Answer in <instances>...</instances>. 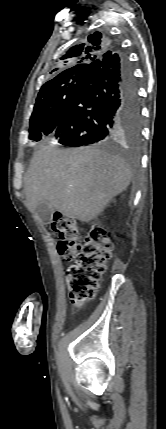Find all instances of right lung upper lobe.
<instances>
[{"mask_svg":"<svg viewBox=\"0 0 166 429\" xmlns=\"http://www.w3.org/2000/svg\"><path fill=\"white\" fill-rule=\"evenodd\" d=\"M90 43H82L71 47L60 59L57 61V68L52 72L57 71L58 74L48 82H46L40 89L39 93L44 92L55 83L64 79L76 76L85 75L89 65L102 57L108 51L112 44L100 33H94L88 37ZM51 72V73H52Z\"/></svg>","mask_w":166,"mask_h":429,"instance_id":"1","label":"right lung upper lobe"}]
</instances>
